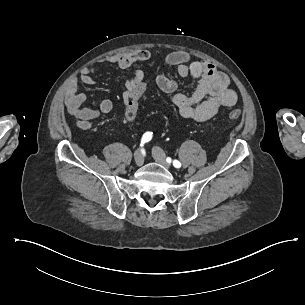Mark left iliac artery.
Returning a JSON list of instances; mask_svg holds the SVG:
<instances>
[{
    "mask_svg": "<svg viewBox=\"0 0 305 305\" xmlns=\"http://www.w3.org/2000/svg\"><path fill=\"white\" fill-rule=\"evenodd\" d=\"M166 161H167L168 163H170V162H171V158H170V157H167ZM173 166H174L175 168H180V167H181V163H180L178 160H174V161H173Z\"/></svg>",
    "mask_w": 305,
    "mask_h": 305,
    "instance_id": "44dca946",
    "label": "left iliac artery"
}]
</instances>
